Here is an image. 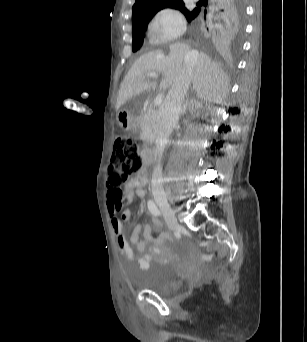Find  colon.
Instances as JSON below:
<instances>
[{
    "label": "colon",
    "instance_id": "1",
    "mask_svg": "<svg viewBox=\"0 0 307 342\" xmlns=\"http://www.w3.org/2000/svg\"><path fill=\"white\" fill-rule=\"evenodd\" d=\"M141 166L140 148L137 140L129 135L117 137L114 145L112 162L108 172V194L111 207H116V200L122 199L117 192H122V185L127 178L137 172Z\"/></svg>",
    "mask_w": 307,
    "mask_h": 342
}]
</instances>
